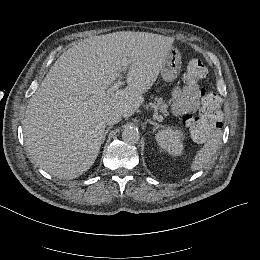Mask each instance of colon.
<instances>
[{
	"mask_svg": "<svg viewBox=\"0 0 260 260\" xmlns=\"http://www.w3.org/2000/svg\"><path fill=\"white\" fill-rule=\"evenodd\" d=\"M208 78V72L203 63L197 59H190L186 70H185V80L189 84H196L198 82L206 81ZM203 120L199 117H186L185 123L191 134H195L200 128Z\"/></svg>",
	"mask_w": 260,
	"mask_h": 260,
	"instance_id": "colon-1",
	"label": "colon"
}]
</instances>
